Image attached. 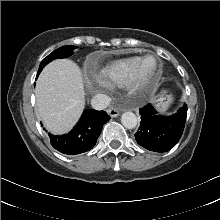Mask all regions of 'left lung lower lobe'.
<instances>
[{"label": "left lung lower lobe", "mask_w": 220, "mask_h": 220, "mask_svg": "<svg viewBox=\"0 0 220 220\" xmlns=\"http://www.w3.org/2000/svg\"><path fill=\"white\" fill-rule=\"evenodd\" d=\"M139 112L141 123L135 134L139 145L151 151L167 152L177 144L185 126L186 105L168 117L158 115L151 104H147Z\"/></svg>", "instance_id": "obj_1"}]
</instances>
